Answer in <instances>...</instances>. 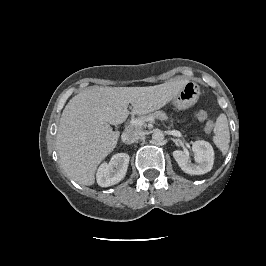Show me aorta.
Returning <instances> with one entry per match:
<instances>
[{"label":"aorta","mask_w":266,"mask_h":266,"mask_svg":"<svg viewBox=\"0 0 266 266\" xmlns=\"http://www.w3.org/2000/svg\"><path fill=\"white\" fill-rule=\"evenodd\" d=\"M163 140H164V133L162 131L158 130L152 134V142L154 144L160 145L163 143Z\"/></svg>","instance_id":"762f6f07"}]
</instances>
